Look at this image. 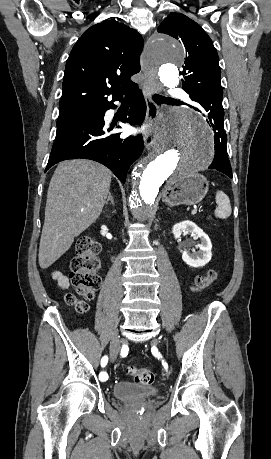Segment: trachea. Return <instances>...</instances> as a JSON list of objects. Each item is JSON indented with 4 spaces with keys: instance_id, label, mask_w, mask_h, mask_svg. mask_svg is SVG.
<instances>
[{
    "instance_id": "trachea-1",
    "label": "trachea",
    "mask_w": 271,
    "mask_h": 459,
    "mask_svg": "<svg viewBox=\"0 0 271 459\" xmlns=\"http://www.w3.org/2000/svg\"><path fill=\"white\" fill-rule=\"evenodd\" d=\"M153 99L155 100V102H157L158 104L162 103V102H165L169 99V97H162L161 95H154ZM124 102H132L133 101V97L130 95V94H126L124 100Z\"/></svg>"
}]
</instances>
